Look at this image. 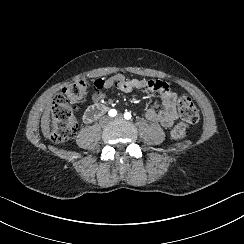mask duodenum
<instances>
[{
  "label": "duodenum",
  "instance_id": "410a0bca",
  "mask_svg": "<svg viewBox=\"0 0 244 244\" xmlns=\"http://www.w3.org/2000/svg\"><path fill=\"white\" fill-rule=\"evenodd\" d=\"M107 109H108L107 106H106V105H103V104H96V105H94V106L90 109V114H91V116H92V118H93V121H94L96 118H98V117L104 115V114L106 113Z\"/></svg>",
  "mask_w": 244,
  "mask_h": 244
}]
</instances>
